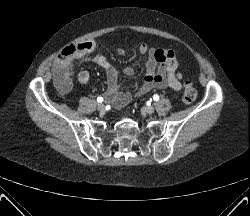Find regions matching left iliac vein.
I'll return each mask as SVG.
<instances>
[{
    "label": "left iliac vein",
    "mask_w": 250,
    "mask_h": 216,
    "mask_svg": "<svg viewBox=\"0 0 250 216\" xmlns=\"http://www.w3.org/2000/svg\"><path fill=\"white\" fill-rule=\"evenodd\" d=\"M142 110L147 114H152L155 109L153 106H144Z\"/></svg>",
    "instance_id": "obj_1"
}]
</instances>
